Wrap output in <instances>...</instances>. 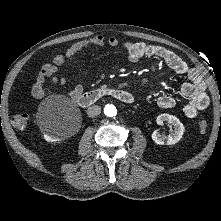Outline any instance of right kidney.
Returning a JSON list of instances; mask_svg holds the SVG:
<instances>
[{"label": "right kidney", "instance_id": "ca27d5eb", "mask_svg": "<svg viewBox=\"0 0 221 221\" xmlns=\"http://www.w3.org/2000/svg\"><path fill=\"white\" fill-rule=\"evenodd\" d=\"M44 138L46 141L48 142H57L60 141V138L58 137V135L52 131H47L46 133H44Z\"/></svg>", "mask_w": 221, "mask_h": 221}]
</instances>
